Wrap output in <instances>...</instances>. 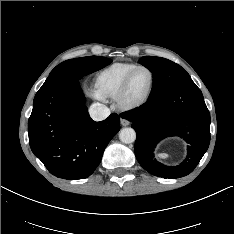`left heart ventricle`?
Here are the masks:
<instances>
[{
    "instance_id": "obj_1",
    "label": "left heart ventricle",
    "mask_w": 234,
    "mask_h": 234,
    "mask_svg": "<svg viewBox=\"0 0 234 234\" xmlns=\"http://www.w3.org/2000/svg\"><path fill=\"white\" fill-rule=\"evenodd\" d=\"M151 84V76L147 70H138L130 83L127 94L128 101H135L142 98L148 91Z\"/></svg>"
}]
</instances>
